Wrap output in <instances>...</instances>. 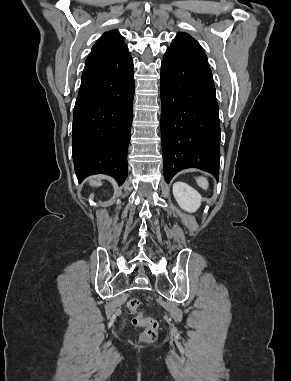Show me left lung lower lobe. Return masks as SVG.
<instances>
[{"instance_id": "0a47b994", "label": "left lung lower lobe", "mask_w": 291, "mask_h": 381, "mask_svg": "<svg viewBox=\"0 0 291 381\" xmlns=\"http://www.w3.org/2000/svg\"><path fill=\"white\" fill-rule=\"evenodd\" d=\"M163 173L198 168L219 177L220 124L211 70L167 49L160 76Z\"/></svg>"}]
</instances>
